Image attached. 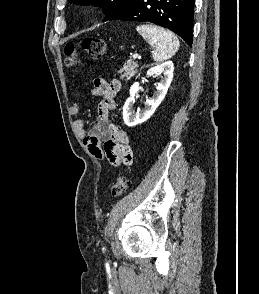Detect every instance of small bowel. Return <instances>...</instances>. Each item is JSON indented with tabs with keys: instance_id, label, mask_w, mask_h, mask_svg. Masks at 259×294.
<instances>
[{
	"instance_id": "c3829d8e",
	"label": "small bowel",
	"mask_w": 259,
	"mask_h": 294,
	"mask_svg": "<svg viewBox=\"0 0 259 294\" xmlns=\"http://www.w3.org/2000/svg\"><path fill=\"white\" fill-rule=\"evenodd\" d=\"M120 88L121 83L117 80L95 79L90 93L100 99L97 121L90 129H86L82 119L73 121L74 132L82 138L89 152L97 159H107L114 166L130 165L133 160L127 133L109 120L110 112L116 108L115 97ZM79 112V104L73 103L69 108L70 115L77 116Z\"/></svg>"
}]
</instances>
